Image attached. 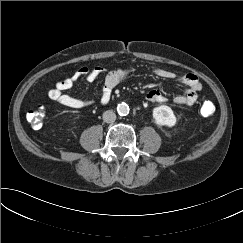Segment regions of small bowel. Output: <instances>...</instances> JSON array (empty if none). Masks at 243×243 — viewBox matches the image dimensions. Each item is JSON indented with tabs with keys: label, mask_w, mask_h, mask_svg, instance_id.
I'll return each mask as SVG.
<instances>
[{
	"label": "small bowel",
	"mask_w": 243,
	"mask_h": 243,
	"mask_svg": "<svg viewBox=\"0 0 243 243\" xmlns=\"http://www.w3.org/2000/svg\"><path fill=\"white\" fill-rule=\"evenodd\" d=\"M105 74L104 83L101 91V104L105 105L109 102L113 89L121 82L129 78L130 71L126 68H115L109 72L103 67L97 66L92 69L82 67L78 69L72 76L58 81L53 88L48 92L50 99L58 102L59 104L71 108L81 109L92 104V100H83L72 97L65 93V91L72 88L77 81L85 79L88 82L95 81L100 75ZM154 74L162 79H174L175 73L157 68L154 70ZM182 83L187 87L182 94L173 97V103L176 105L191 106L198 99V92L202 89L198 77L192 73H187L181 78ZM146 98L151 103H166L167 97L159 90H151L147 93Z\"/></svg>",
	"instance_id": "c3829d8e"
}]
</instances>
